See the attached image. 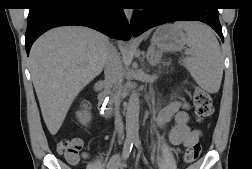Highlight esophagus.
<instances>
[{
	"label": "esophagus",
	"mask_w": 252,
	"mask_h": 169,
	"mask_svg": "<svg viewBox=\"0 0 252 169\" xmlns=\"http://www.w3.org/2000/svg\"><path fill=\"white\" fill-rule=\"evenodd\" d=\"M124 12H125L126 18L130 22L131 17H132V10L131 9H125Z\"/></svg>",
	"instance_id": "esophagus-1"
}]
</instances>
